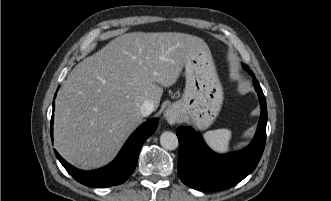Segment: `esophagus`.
Returning a JSON list of instances; mask_svg holds the SVG:
<instances>
[{
	"label": "esophagus",
	"mask_w": 331,
	"mask_h": 201,
	"mask_svg": "<svg viewBox=\"0 0 331 201\" xmlns=\"http://www.w3.org/2000/svg\"><path fill=\"white\" fill-rule=\"evenodd\" d=\"M163 115H164V118L166 119V121L171 125H173L179 121V114H178L177 109L174 106L167 108Z\"/></svg>",
	"instance_id": "34e87169"
}]
</instances>
